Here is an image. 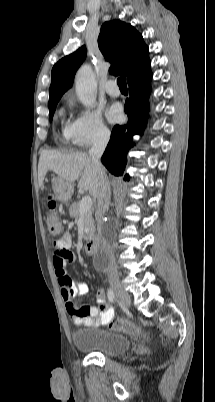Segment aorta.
<instances>
[{
	"instance_id": "1",
	"label": "aorta",
	"mask_w": 215,
	"mask_h": 402,
	"mask_svg": "<svg viewBox=\"0 0 215 402\" xmlns=\"http://www.w3.org/2000/svg\"><path fill=\"white\" fill-rule=\"evenodd\" d=\"M76 94L84 106L92 107L97 97V82L90 65H82L75 76ZM105 254L103 253L101 255Z\"/></svg>"
}]
</instances>
